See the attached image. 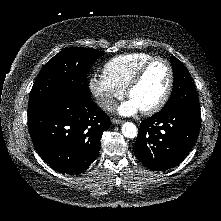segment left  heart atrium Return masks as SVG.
<instances>
[{
  "mask_svg": "<svg viewBox=\"0 0 221 221\" xmlns=\"http://www.w3.org/2000/svg\"><path fill=\"white\" fill-rule=\"evenodd\" d=\"M139 110L140 109L138 108V106L131 99H129L128 101L124 102L118 108L119 114L125 115V116H129V115L135 114Z\"/></svg>",
  "mask_w": 221,
  "mask_h": 221,
  "instance_id": "obj_1",
  "label": "left heart atrium"
}]
</instances>
